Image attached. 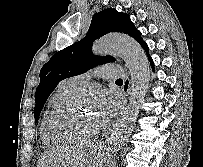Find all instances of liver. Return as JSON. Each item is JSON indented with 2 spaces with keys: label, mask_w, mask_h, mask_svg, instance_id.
<instances>
[{
  "label": "liver",
  "mask_w": 203,
  "mask_h": 167,
  "mask_svg": "<svg viewBox=\"0 0 203 167\" xmlns=\"http://www.w3.org/2000/svg\"><path fill=\"white\" fill-rule=\"evenodd\" d=\"M96 149L97 147L90 145L45 152L39 159L37 167H85Z\"/></svg>",
  "instance_id": "6515ba94"
}]
</instances>
